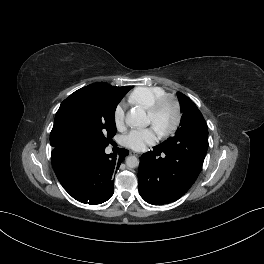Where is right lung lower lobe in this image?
I'll return each instance as SVG.
<instances>
[{"label":"right lung lower lobe","mask_w":264,"mask_h":264,"mask_svg":"<svg viewBox=\"0 0 264 264\" xmlns=\"http://www.w3.org/2000/svg\"><path fill=\"white\" fill-rule=\"evenodd\" d=\"M103 149L79 147L53 150V169L64 189L76 200L91 205L107 201L114 192V175L128 150L107 155Z\"/></svg>","instance_id":"98d812e1"}]
</instances>
